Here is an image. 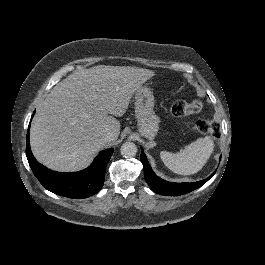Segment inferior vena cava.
Listing matches in <instances>:
<instances>
[{"label": "inferior vena cava", "mask_w": 265, "mask_h": 265, "mask_svg": "<svg viewBox=\"0 0 265 265\" xmlns=\"http://www.w3.org/2000/svg\"><path fill=\"white\" fill-rule=\"evenodd\" d=\"M104 137L107 141H111L114 138V133L112 130H106Z\"/></svg>", "instance_id": "1"}]
</instances>
